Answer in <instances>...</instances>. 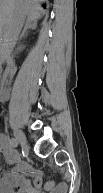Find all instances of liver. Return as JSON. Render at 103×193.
Wrapping results in <instances>:
<instances>
[{"label":"liver","mask_w":103,"mask_h":193,"mask_svg":"<svg viewBox=\"0 0 103 193\" xmlns=\"http://www.w3.org/2000/svg\"><path fill=\"white\" fill-rule=\"evenodd\" d=\"M27 16V22H36L41 18V9L33 0H0V30L7 42L11 35V27L17 16ZM5 55V46L3 47Z\"/></svg>","instance_id":"6515ba94"}]
</instances>
